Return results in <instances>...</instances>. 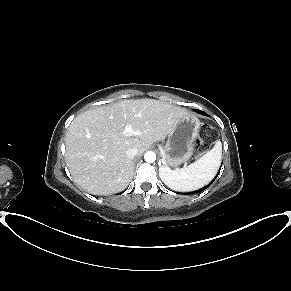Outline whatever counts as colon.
Listing matches in <instances>:
<instances>
[{
	"label": "colon",
	"instance_id": "1",
	"mask_svg": "<svg viewBox=\"0 0 291 291\" xmlns=\"http://www.w3.org/2000/svg\"><path fill=\"white\" fill-rule=\"evenodd\" d=\"M214 133L210 126H203L196 140V152L202 153L208 150L213 143Z\"/></svg>",
	"mask_w": 291,
	"mask_h": 291
}]
</instances>
